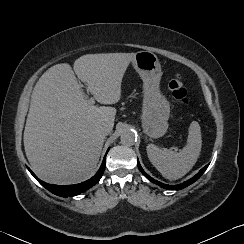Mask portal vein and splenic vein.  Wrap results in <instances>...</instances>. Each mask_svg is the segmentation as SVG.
<instances>
[{
  "label": "portal vein and splenic vein",
  "instance_id": "18ae733b",
  "mask_svg": "<svg viewBox=\"0 0 244 244\" xmlns=\"http://www.w3.org/2000/svg\"><path fill=\"white\" fill-rule=\"evenodd\" d=\"M88 101V103L90 104V105H93V104H95V101H94V99L93 98H90L89 100H87Z\"/></svg>",
  "mask_w": 244,
  "mask_h": 244
}]
</instances>
